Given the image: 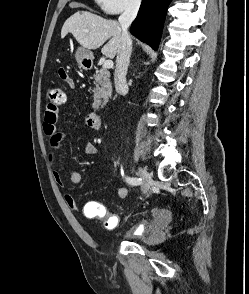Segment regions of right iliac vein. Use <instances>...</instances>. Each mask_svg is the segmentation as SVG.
I'll list each match as a JSON object with an SVG mask.
<instances>
[{"mask_svg":"<svg viewBox=\"0 0 249 294\" xmlns=\"http://www.w3.org/2000/svg\"><path fill=\"white\" fill-rule=\"evenodd\" d=\"M138 174L140 178L143 180V192L145 195H148L150 188L152 186V176L151 174L144 168H138Z\"/></svg>","mask_w":249,"mask_h":294,"instance_id":"1","label":"right iliac vein"}]
</instances>
